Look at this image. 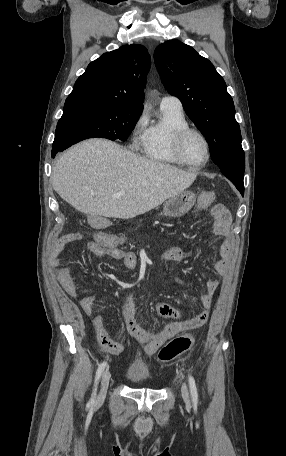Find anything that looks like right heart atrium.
Wrapping results in <instances>:
<instances>
[{
  "instance_id": "d8ad5b80",
  "label": "right heart atrium",
  "mask_w": 286,
  "mask_h": 456,
  "mask_svg": "<svg viewBox=\"0 0 286 456\" xmlns=\"http://www.w3.org/2000/svg\"><path fill=\"white\" fill-rule=\"evenodd\" d=\"M146 123V114L145 112H142L139 117L136 119L133 131H132V138L133 142L136 144L140 141L143 132H144V126Z\"/></svg>"
}]
</instances>
